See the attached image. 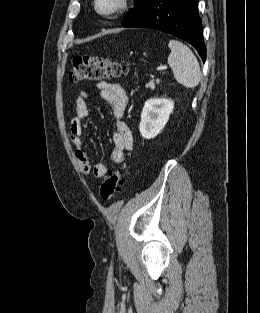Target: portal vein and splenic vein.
Returning <instances> with one entry per match:
<instances>
[{
    "mask_svg": "<svg viewBox=\"0 0 260 313\" xmlns=\"http://www.w3.org/2000/svg\"><path fill=\"white\" fill-rule=\"evenodd\" d=\"M167 68V66H160L158 69L159 70H164V69H166Z\"/></svg>",
    "mask_w": 260,
    "mask_h": 313,
    "instance_id": "portal-vein-and-splenic-vein-1",
    "label": "portal vein and splenic vein"
}]
</instances>
